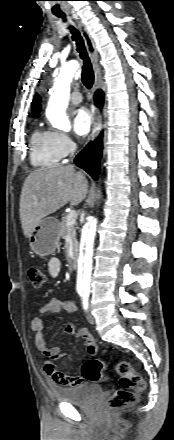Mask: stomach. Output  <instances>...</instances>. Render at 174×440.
Returning a JSON list of instances; mask_svg holds the SVG:
<instances>
[{
	"mask_svg": "<svg viewBox=\"0 0 174 440\" xmlns=\"http://www.w3.org/2000/svg\"><path fill=\"white\" fill-rule=\"evenodd\" d=\"M29 238L30 248L39 256L55 252L60 240L59 222L54 217H46L33 229Z\"/></svg>",
	"mask_w": 174,
	"mask_h": 440,
	"instance_id": "stomach-1",
	"label": "stomach"
}]
</instances>
